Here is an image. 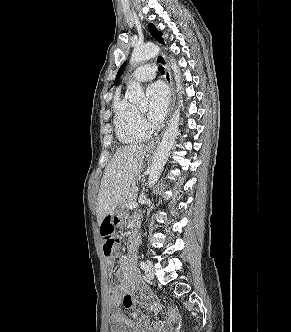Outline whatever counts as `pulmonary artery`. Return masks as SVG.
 <instances>
[{"label":"pulmonary artery","mask_w":291,"mask_h":332,"mask_svg":"<svg viewBox=\"0 0 291 332\" xmlns=\"http://www.w3.org/2000/svg\"><path fill=\"white\" fill-rule=\"evenodd\" d=\"M156 75V68L153 65L146 64L137 68L131 75L130 80L145 82L152 80Z\"/></svg>","instance_id":"pulmonary-artery-1"}]
</instances>
